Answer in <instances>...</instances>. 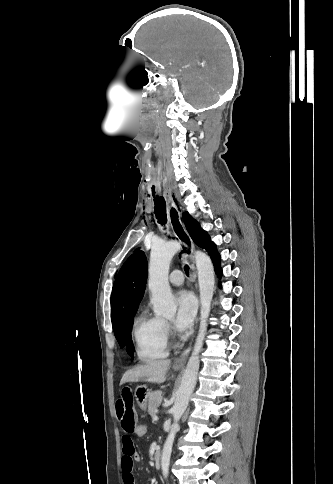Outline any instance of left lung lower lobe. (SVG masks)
Masks as SVG:
<instances>
[{
    "label": "left lung lower lobe",
    "instance_id": "left-lung-lower-lobe-1",
    "mask_svg": "<svg viewBox=\"0 0 333 484\" xmlns=\"http://www.w3.org/2000/svg\"><path fill=\"white\" fill-rule=\"evenodd\" d=\"M209 253L215 267V272L219 277L222 275V270L220 268V255L216 251L215 244L210 241V238L207 233L204 234L203 239H202V246H200Z\"/></svg>",
    "mask_w": 333,
    "mask_h": 484
}]
</instances>
